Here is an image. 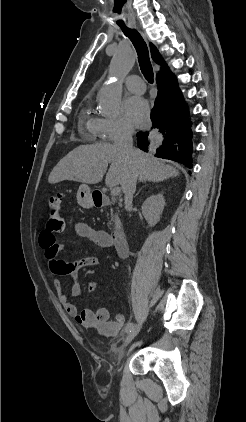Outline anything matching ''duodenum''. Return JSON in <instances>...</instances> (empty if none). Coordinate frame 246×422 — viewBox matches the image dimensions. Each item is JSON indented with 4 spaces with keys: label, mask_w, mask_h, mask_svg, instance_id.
I'll return each mask as SVG.
<instances>
[{
    "label": "duodenum",
    "mask_w": 246,
    "mask_h": 422,
    "mask_svg": "<svg viewBox=\"0 0 246 422\" xmlns=\"http://www.w3.org/2000/svg\"><path fill=\"white\" fill-rule=\"evenodd\" d=\"M94 204L96 207H102L111 204V201L106 197L95 196ZM110 239L116 249L117 254L120 257L126 256L128 252V243L123 230L120 228H115L110 234Z\"/></svg>",
    "instance_id": "1"
}]
</instances>
